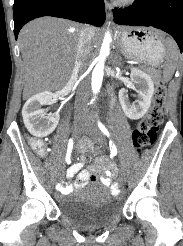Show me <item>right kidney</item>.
Segmentation results:
<instances>
[{"instance_id":"obj_1","label":"right kidney","mask_w":183,"mask_h":246,"mask_svg":"<svg viewBox=\"0 0 183 246\" xmlns=\"http://www.w3.org/2000/svg\"><path fill=\"white\" fill-rule=\"evenodd\" d=\"M56 95L44 91L30 97L22 109V116L27 130L37 138H43L51 134L57 127L59 113L45 114L41 108L52 103Z\"/></svg>"}]
</instances>
